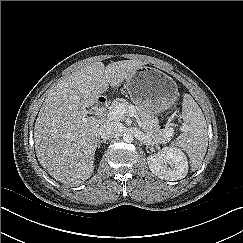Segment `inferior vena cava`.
<instances>
[{"label":"inferior vena cava","mask_w":243,"mask_h":243,"mask_svg":"<svg viewBox=\"0 0 243 243\" xmlns=\"http://www.w3.org/2000/svg\"><path fill=\"white\" fill-rule=\"evenodd\" d=\"M122 124L119 122H107L99 128V134L103 140L109 139L121 132Z\"/></svg>","instance_id":"1"}]
</instances>
